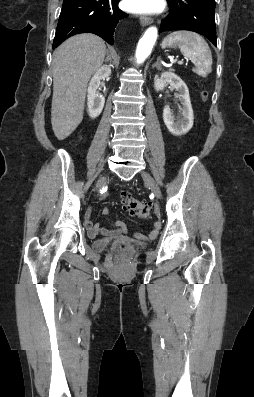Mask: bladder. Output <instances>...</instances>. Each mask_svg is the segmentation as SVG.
Returning <instances> with one entry per match:
<instances>
[{
    "instance_id": "31cf9c89",
    "label": "bladder",
    "mask_w": 254,
    "mask_h": 397,
    "mask_svg": "<svg viewBox=\"0 0 254 397\" xmlns=\"http://www.w3.org/2000/svg\"><path fill=\"white\" fill-rule=\"evenodd\" d=\"M107 242L106 241H96L94 242V247L97 249H105L107 247Z\"/></svg>"
}]
</instances>
